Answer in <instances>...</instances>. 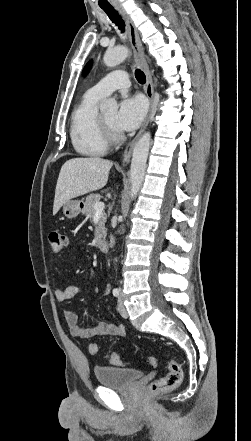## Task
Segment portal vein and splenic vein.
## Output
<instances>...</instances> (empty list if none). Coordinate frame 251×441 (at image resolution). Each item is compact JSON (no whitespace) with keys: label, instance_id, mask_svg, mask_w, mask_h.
Wrapping results in <instances>:
<instances>
[{"label":"portal vein and splenic vein","instance_id":"1","mask_svg":"<svg viewBox=\"0 0 251 441\" xmlns=\"http://www.w3.org/2000/svg\"><path fill=\"white\" fill-rule=\"evenodd\" d=\"M104 208H105V204L103 202H96L94 204L95 212H101L104 210Z\"/></svg>","mask_w":251,"mask_h":441}]
</instances>
